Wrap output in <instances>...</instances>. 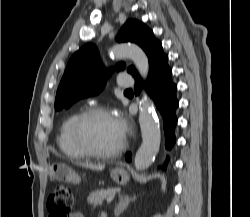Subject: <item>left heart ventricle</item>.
<instances>
[{
  "label": "left heart ventricle",
  "instance_id": "b2bd125f",
  "mask_svg": "<svg viewBox=\"0 0 250 217\" xmlns=\"http://www.w3.org/2000/svg\"><path fill=\"white\" fill-rule=\"evenodd\" d=\"M85 134L90 144L102 151L116 148L123 139L111 114L91 117L85 124Z\"/></svg>",
  "mask_w": 250,
  "mask_h": 217
}]
</instances>
